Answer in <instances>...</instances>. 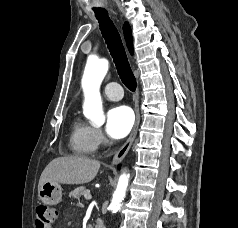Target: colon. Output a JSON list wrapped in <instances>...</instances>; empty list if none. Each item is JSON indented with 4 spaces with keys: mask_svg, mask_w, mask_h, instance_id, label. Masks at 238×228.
Listing matches in <instances>:
<instances>
[{
    "mask_svg": "<svg viewBox=\"0 0 238 228\" xmlns=\"http://www.w3.org/2000/svg\"><path fill=\"white\" fill-rule=\"evenodd\" d=\"M57 212L54 208L47 205H40L36 208V227L51 228L56 220Z\"/></svg>",
    "mask_w": 238,
    "mask_h": 228,
    "instance_id": "colon-1",
    "label": "colon"
}]
</instances>
